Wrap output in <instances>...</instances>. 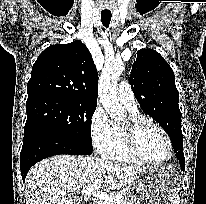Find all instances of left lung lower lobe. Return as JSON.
I'll list each match as a JSON object with an SVG mask.
<instances>
[{"label": "left lung lower lobe", "instance_id": "left-lung-lower-lobe-1", "mask_svg": "<svg viewBox=\"0 0 206 204\" xmlns=\"http://www.w3.org/2000/svg\"><path fill=\"white\" fill-rule=\"evenodd\" d=\"M176 157L179 160V164L182 168V170L184 171L185 169V158H184V153L182 150L179 151H175Z\"/></svg>", "mask_w": 206, "mask_h": 204}]
</instances>
